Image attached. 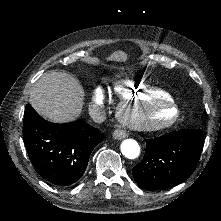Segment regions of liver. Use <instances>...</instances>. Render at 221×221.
I'll use <instances>...</instances> for the list:
<instances>
[{
    "instance_id": "6515ba94",
    "label": "liver",
    "mask_w": 221,
    "mask_h": 221,
    "mask_svg": "<svg viewBox=\"0 0 221 221\" xmlns=\"http://www.w3.org/2000/svg\"><path fill=\"white\" fill-rule=\"evenodd\" d=\"M112 60L119 61L117 57ZM83 99L84 92L78 80L59 71L42 75L29 95L32 108L55 124L71 123L81 117Z\"/></svg>"
}]
</instances>
